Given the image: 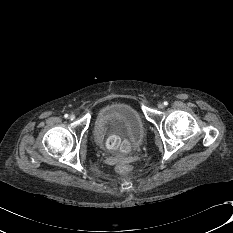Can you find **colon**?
Here are the masks:
<instances>
[{
    "instance_id": "5ec220e1",
    "label": "colon",
    "mask_w": 233,
    "mask_h": 233,
    "mask_svg": "<svg viewBox=\"0 0 233 233\" xmlns=\"http://www.w3.org/2000/svg\"><path fill=\"white\" fill-rule=\"evenodd\" d=\"M117 170H118V172H120V173H127V172H128V168H127L126 166H123V165L118 166V167H117Z\"/></svg>"
}]
</instances>
